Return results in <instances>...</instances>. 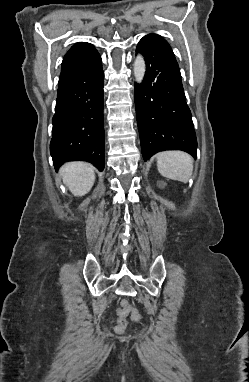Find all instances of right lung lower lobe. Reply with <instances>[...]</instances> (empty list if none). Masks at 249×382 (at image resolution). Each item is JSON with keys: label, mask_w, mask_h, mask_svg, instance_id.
Returning <instances> with one entry per match:
<instances>
[{"label": "right lung lower lobe", "mask_w": 249, "mask_h": 382, "mask_svg": "<svg viewBox=\"0 0 249 382\" xmlns=\"http://www.w3.org/2000/svg\"><path fill=\"white\" fill-rule=\"evenodd\" d=\"M104 73L99 54L58 84L50 153L56 170L66 161L85 160L104 169Z\"/></svg>", "instance_id": "98d812e1"}]
</instances>
